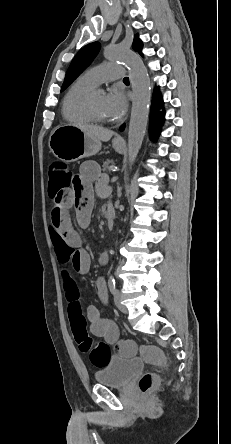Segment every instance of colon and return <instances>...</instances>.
I'll return each mask as SVG.
<instances>
[{"label":"colon","instance_id":"5ec220e1","mask_svg":"<svg viewBox=\"0 0 231 444\" xmlns=\"http://www.w3.org/2000/svg\"><path fill=\"white\" fill-rule=\"evenodd\" d=\"M77 176L68 166L62 162H54L49 166V186L48 193L52 199V204L59 205L62 194L65 189L72 187ZM69 318L71 324L72 335L78 344L81 352L88 355L91 363L96 367H103L107 364L111 356V348L104 342L94 343L87 331L86 318L82 312V307L76 299L71 300L69 306ZM119 351H133L136 346L133 341L125 340L117 346ZM142 357L156 365L164 362L162 351L152 345H142L140 347ZM158 379L155 374L144 373L139 380V387L143 393L150 392L157 384Z\"/></svg>","mask_w":231,"mask_h":444}]
</instances>
